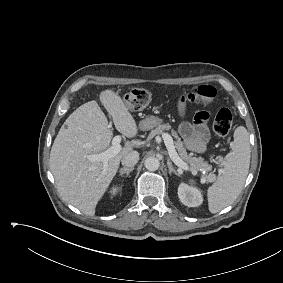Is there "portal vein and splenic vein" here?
<instances>
[{
    "instance_id": "1",
    "label": "portal vein and splenic vein",
    "mask_w": 283,
    "mask_h": 283,
    "mask_svg": "<svg viewBox=\"0 0 283 283\" xmlns=\"http://www.w3.org/2000/svg\"><path fill=\"white\" fill-rule=\"evenodd\" d=\"M163 140L171 160L180 169L188 170L189 169L188 165L178 156L175 150L172 137L169 134L164 133ZM120 142H121V136L120 135L115 136L112 140V146L110 148L99 154H90L87 156V159L90 161H103L104 163H107V161L110 158L114 157L120 152L121 150Z\"/></svg>"
}]
</instances>
